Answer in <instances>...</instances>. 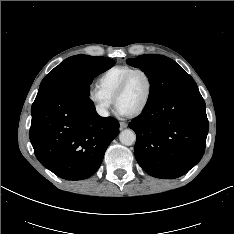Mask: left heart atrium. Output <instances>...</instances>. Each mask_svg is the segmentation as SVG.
Listing matches in <instances>:
<instances>
[{
  "mask_svg": "<svg viewBox=\"0 0 234 234\" xmlns=\"http://www.w3.org/2000/svg\"><path fill=\"white\" fill-rule=\"evenodd\" d=\"M117 113L120 114V115H126L127 114L125 111H123L119 107H117Z\"/></svg>",
  "mask_w": 234,
  "mask_h": 234,
  "instance_id": "obj_1",
  "label": "left heart atrium"
}]
</instances>
